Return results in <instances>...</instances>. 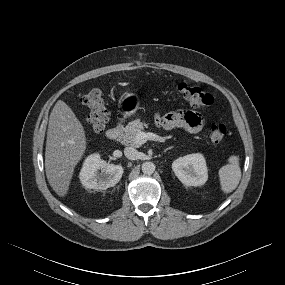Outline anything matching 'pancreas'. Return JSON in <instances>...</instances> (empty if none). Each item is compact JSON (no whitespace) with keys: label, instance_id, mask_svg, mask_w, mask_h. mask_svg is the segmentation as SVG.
<instances>
[{"label":"pancreas","instance_id":"1","mask_svg":"<svg viewBox=\"0 0 285 285\" xmlns=\"http://www.w3.org/2000/svg\"><path fill=\"white\" fill-rule=\"evenodd\" d=\"M144 127H147V124L140 120L129 122L120 135L121 143L126 146L138 147L139 145L135 143V137Z\"/></svg>","mask_w":285,"mask_h":285}]
</instances>
